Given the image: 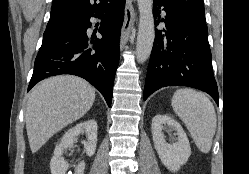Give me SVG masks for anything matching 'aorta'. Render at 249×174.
<instances>
[{
    "label": "aorta",
    "mask_w": 249,
    "mask_h": 174,
    "mask_svg": "<svg viewBox=\"0 0 249 174\" xmlns=\"http://www.w3.org/2000/svg\"><path fill=\"white\" fill-rule=\"evenodd\" d=\"M139 9V25L136 43L138 63H144L150 56L155 39L153 0H137Z\"/></svg>",
    "instance_id": "aorta-1"
}]
</instances>
